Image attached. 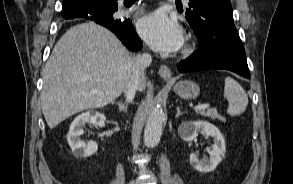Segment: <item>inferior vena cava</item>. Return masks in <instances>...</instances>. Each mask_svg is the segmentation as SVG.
<instances>
[{"label": "inferior vena cava", "mask_w": 293, "mask_h": 184, "mask_svg": "<svg viewBox=\"0 0 293 184\" xmlns=\"http://www.w3.org/2000/svg\"><path fill=\"white\" fill-rule=\"evenodd\" d=\"M152 57L149 53L137 54L133 59V74L124 89V95L128 102H131L137 90L145 81V69L151 64Z\"/></svg>", "instance_id": "1"}]
</instances>
